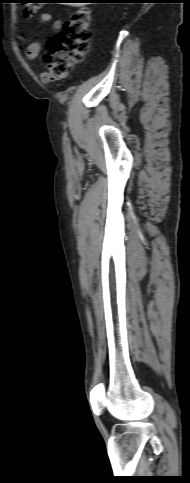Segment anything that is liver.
Instances as JSON below:
<instances>
[{
    "label": "liver",
    "mask_w": 190,
    "mask_h": 483,
    "mask_svg": "<svg viewBox=\"0 0 190 483\" xmlns=\"http://www.w3.org/2000/svg\"><path fill=\"white\" fill-rule=\"evenodd\" d=\"M68 4H70V5H74V6H80V5H83V4H85V3H68Z\"/></svg>",
    "instance_id": "obj_1"
}]
</instances>
